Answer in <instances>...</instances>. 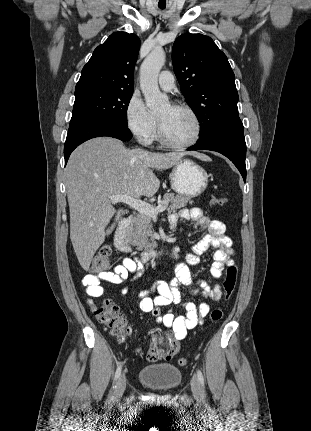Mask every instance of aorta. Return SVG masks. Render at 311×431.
I'll use <instances>...</instances> for the list:
<instances>
[{
  "mask_svg": "<svg viewBox=\"0 0 311 431\" xmlns=\"http://www.w3.org/2000/svg\"><path fill=\"white\" fill-rule=\"evenodd\" d=\"M166 62V54L162 48L152 50L140 68V88L147 108L157 112L160 108L170 106L167 94H161L158 88L159 72Z\"/></svg>",
  "mask_w": 311,
  "mask_h": 431,
  "instance_id": "aorta-1",
  "label": "aorta"
}]
</instances>
